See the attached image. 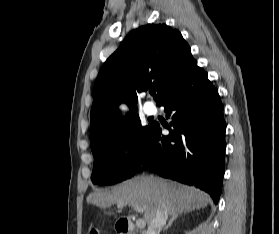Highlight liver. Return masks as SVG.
<instances>
[{
  "label": "liver",
  "mask_w": 279,
  "mask_h": 234,
  "mask_svg": "<svg viewBox=\"0 0 279 234\" xmlns=\"http://www.w3.org/2000/svg\"><path fill=\"white\" fill-rule=\"evenodd\" d=\"M210 200L206 193L198 189L154 176H137L111 191H96L87 197V203L104 210L113 204L138 205L142 207L143 218L148 224L162 205L173 216L204 208ZM105 214L111 215L110 212Z\"/></svg>",
  "instance_id": "6515ba94"
}]
</instances>
